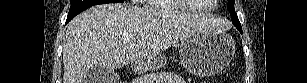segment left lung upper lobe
Masks as SVG:
<instances>
[{
  "instance_id": "left-lung-upper-lobe-1",
  "label": "left lung upper lobe",
  "mask_w": 307,
  "mask_h": 83,
  "mask_svg": "<svg viewBox=\"0 0 307 83\" xmlns=\"http://www.w3.org/2000/svg\"><path fill=\"white\" fill-rule=\"evenodd\" d=\"M234 3H235V0H228V7H229V10H230V15H231V17H232V23H233L237 28H241L240 22H239V20H238V17H237V15H236V12H235Z\"/></svg>"
}]
</instances>
